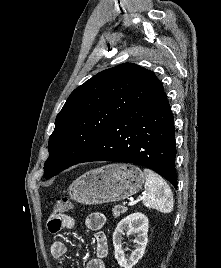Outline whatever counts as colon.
<instances>
[{
	"mask_svg": "<svg viewBox=\"0 0 221 268\" xmlns=\"http://www.w3.org/2000/svg\"><path fill=\"white\" fill-rule=\"evenodd\" d=\"M73 204L69 198H62L57 200L53 206V214L63 215L67 210L72 208Z\"/></svg>",
	"mask_w": 221,
	"mask_h": 268,
	"instance_id": "1",
	"label": "colon"
}]
</instances>
